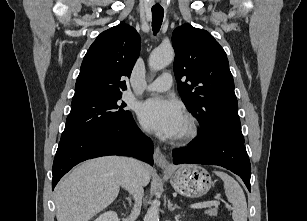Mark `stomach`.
I'll return each mask as SVG.
<instances>
[{
    "instance_id": "obj_1",
    "label": "stomach",
    "mask_w": 307,
    "mask_h": 221,
    "mask_svg": "<svg viewBox=\"0 0 307 221\" xmlns=\"http://www.w3.org/2000/svg\"><path fill=\"white\" fill-rule=\"evenodd\" d=\"M170 182L177 192L187 197L203 196L212 186L208 171L194 164H183L175 167L171 171Z\"/></svg>"
}]
</instances>
